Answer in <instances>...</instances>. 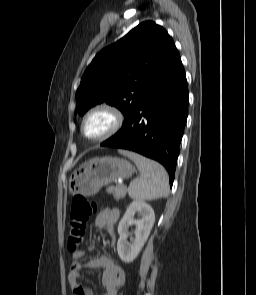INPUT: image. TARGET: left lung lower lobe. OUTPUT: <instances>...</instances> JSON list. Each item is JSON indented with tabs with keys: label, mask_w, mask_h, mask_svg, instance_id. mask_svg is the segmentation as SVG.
Returning a JSON list of instances; mask_svg holds the SVG:
<instances>
[{
	"label": "left lung lower lobe",
	"mask_w": 256,
	"mask_h": 295,
	"mask_svg": "<svg viewBox=\"0 0 256 295\" xmlns=\"http://www.w3.org/2000/svg\"><path fill=\"white\" fill-rule=\"evenodd\" d=\"M188 100L186 75L180 62L101 146L127 149L158 161L167 169L171 186L188 116Z\"/></svg>",
	"instance_id": "obj_1"
}]
</instances>
